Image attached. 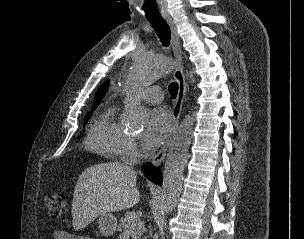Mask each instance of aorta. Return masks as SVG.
<instances>
[{"label": "aorta", "instance_id": "aorta-1", "mask_svg": "<svg viewBox=\"0 0 304 239\" xmlns=\"http://www.w3.org/2000/svg\"><path fill=\"white\" fill-rule=\"evenodd\" d=\"M172 68V60L165 56L151 57L143 55L135 59L126 81L129 95L124 118L131 124H142L146 111L139 105L135 94L138 90L168 74ZM193 81V75L190 74ZM193 116L187 115L180 123L170 144L165 160L161 209L166 213L173 211L182 191L184 167L193 133Z\"/></svg>", "mask_w": 304, "mask_h": 239}]
</instances>
